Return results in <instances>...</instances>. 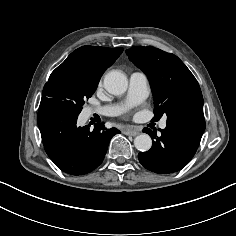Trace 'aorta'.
I'll return each mask as SVG.
<instances>
[{
    "instance_id": "aorta-1",
    "label": "aorta",
    "mask_w": 236,
    "mask_h": 236,
    "mask_svg": "<svg viewBox=\"0 0 236 236\" xmlns=\"http://www.w3.org/2000/svg\"><path fill=\"white\" fill-rule=\"evenodd\" d=\"M104 87L113 95H121L127 90V77L121 71H110L104 77ZM134 145L137 150L146 152L150 150L152 146V139L148 134L142 133L135 137Z\"/></svg>"
}]
</instances>
